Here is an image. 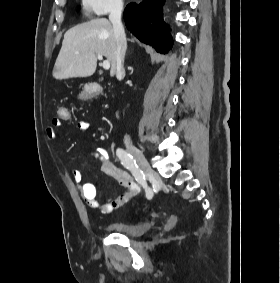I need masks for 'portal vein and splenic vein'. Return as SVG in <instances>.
<instances>
[{"instance_id": "portal-vein-and-splenic-vein-1", "label": "portal vein and splenic vein", "mask_w": 280, "mask_h": 283, "mask_svg": "<svg viewBox=\"0 0 280 283\" xmlns=\"http://www.w3.org/2000/svg\"><path fill=\"white\" fill-rule=\"evenodd\" d=\"M97 58L102 61L103 60V55L98 53L97 54ZM102 66H103L104 69L107 70V69L110 68V62L108 60H104L103 63H102Z\"/></svg>"}]
</instances>
